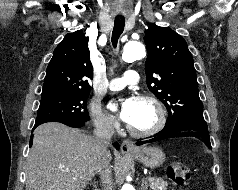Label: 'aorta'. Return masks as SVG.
<instances>
[{
  "instance_id": "obj_1",
  "label": "aorta",
  "mask_w": 238,
  "mask_h": 190,
  "mask_svg": "<svg viewBox=\"0 0 238 190\" xmlns=\"http://www.w3.org/2000/svg\"><path fill=\"white\" fill-rule=\"evenodd\" d=\"M145 54L144 45L140 41L131 40L124 46L122 58L126 62H134L136 60L142 59ZM107 107L110 110L115 109V106L112 104H109ZM121 190H135V188L131 184H124Z\"/></svg>"
}]
</instances>
